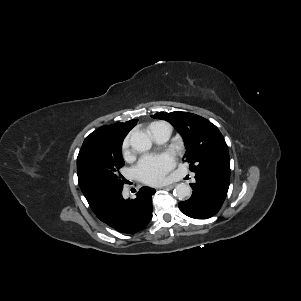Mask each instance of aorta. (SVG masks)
<instances>
[{"label": "aorta", "instance_id": "762f6f07", "mask_svg": "<svg viewBox=\"0 0 301 301\" xmlns=\"http://www.w3.org/2000/svg\"><path fill=\"white\" fill-rule=\"evenodd\" d=\"M130 144L138 152H146L152 147L150 137L144 132H133L130 137ZM174 195L179 200H186L191 196V188L185 183L177 184L174 189Z\"/></svg>", "mask_w": 301, "mask_h": 301}]
</instances>
